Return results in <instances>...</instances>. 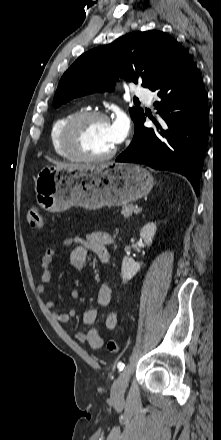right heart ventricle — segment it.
<instances>
[{"instance_id": "e07e8e85", "label": "right heart ventricle", "mask_w": 221, "mask_h": 440, "mask_svg": "<svg viewBox=\"0 0 221 440\" xmlns=\"http://www.w3.org/2000/svg\"><path fill=\"white\" fill-rule=\"evenodd\" d=\"M78 111L67 112L54 120L50 129V143L53 151L60 157L72 159L62 146V130L66 122Z\"/></svg>"}]
</instances>
